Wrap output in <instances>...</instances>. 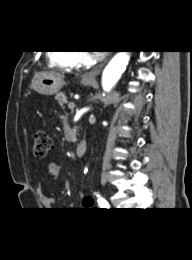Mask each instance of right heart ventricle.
I'll return each mask as SVG.
<instances>
[{
    "mask_svg": "<svg viewBox=\"0 0 192 260\" xmlns=\"http://www.w3.org/2000/svg\"><path fill=\"white\" fill-rule=\"evenodd\" d=\"M50 62L62 68H75L78 63L76 61V53L72 51H55L49 55Z\"/></svg>",
    "mask_w": 192,
    "mask_h": 260,
    "instance_id": "obj_1",
    "label": "right heart ventricle"
}]
</instances>
